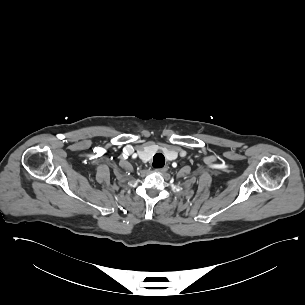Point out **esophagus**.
Returning a JSON list of instances; mask_svg holds the SVG:
<instances>
[{"mask_svg":"<svg viewBox=\"0 0 305 305\" xmlns=\"http://www.w3.org/2000/svg\"><path fill=\"white\" fill-rule=\"evenodd\" d=\"M168 170L167 166L155 169L156 172L165 173Z\"/></svg>","mask_w":305,"mask_h":305,"instance_id":"1","label":"esophagus"}]
</instances>
